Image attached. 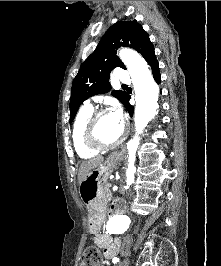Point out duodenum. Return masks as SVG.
<instances>
[{
	"instance_id": "410a0bca",
	"label": "duodenum",
	"mask_w": 221,
	"mask_h": 266,
	"mask_svg": "<svg viewBox=\"0 0 221 266\" xmlns=\"http://www.w3.org/2000/svg\"><path fill=\"white\" fill-rule=\"evenodd\" d=\"M111 209L113 212L120 213L123 210V205L119 202H115L113 203Z\"/></svg>"
}]
</instances>
